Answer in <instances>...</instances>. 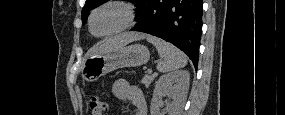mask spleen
I'll return each mask as SVG.
<instances>
[{"mask_svg": "<svg viewBox=\"0 0 285 115\" xmlns=\"http://www.w3.org/2000/svg\"><path fill=\"white\" fill-rule=\"evenodd\" d=\"M147 41L156 47L159 56L162 58V61L157 64L159 72H171L186 66V55L174 45L154 36H148Z\"/></svg>", "mask_w": 285, "mask_h": 115, "instance_id": "spleen-1", "label": "spleen"}]
</instances>
